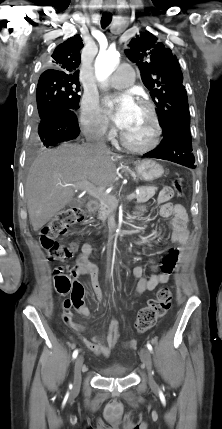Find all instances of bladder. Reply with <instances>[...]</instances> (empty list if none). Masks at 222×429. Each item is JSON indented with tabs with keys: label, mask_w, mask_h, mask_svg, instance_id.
<instances>
[{
	"label": "bladder",
	"mask_w": 222,
	"mask_h": 429,
	"mask_svg": "<svg viewBox=\"0 0 222 429\" xmlns=\"http://www.w3.org/2000/svg\"><path fill=\"white\" fill-rule=\"evenodd\" d=\"M105 374L108 376L122 377L127 374V371L124 368H117V369L108 370L105 372Z\"/></svg>",
	"instance_id": "1"
}]
</instances>
